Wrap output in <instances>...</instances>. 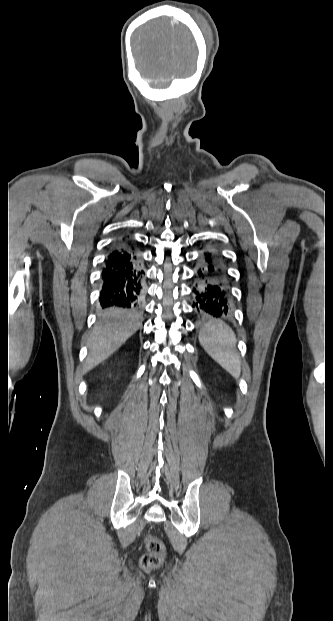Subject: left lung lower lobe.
Wrapping results in <instances>:
<instances>
[{"label": "left lung lower lobe", "instance_id": "left-lung-lower-lobe-1", "mask_svg": "<svg viewBox=\"0 0 333 621\" xmlns=\"http://www.w3.org/2000/svg\"><path fill=\"white\" fill-rule=\"evenodd\" d=\"M192 307L200 316L229 315L231 311L228 278L222 255L215 248L200 254L194 273Z\"/></svg>", "mask_w": 333, "mask_h": 621}]
</instances>
